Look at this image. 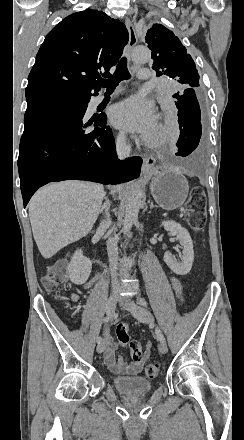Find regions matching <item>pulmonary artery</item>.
I'll list each match as a JSON object with an SVG mask.
<instances>
[{"label": "pulmonary artery", "instance_id": "obj_1", "mask_svg": "<svg viewBox=\"0 0 244 440\" xmlns=\"http://www.w3.org/2000/svg\"><path fill=\"white\" fill-rule=\"evenodd\" d=\"M136 74H137V77H138V78H147L148 75H149V72H148L147 69H138ZM112 96H114V95H112ZM103 99H104L103 96H97V97H95V98H93V99L91 100L90 105H91V106H96V105L99 104Z\"/></svg>", "mask_w": 244, "mask_h": 440}]
</instances>
